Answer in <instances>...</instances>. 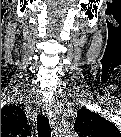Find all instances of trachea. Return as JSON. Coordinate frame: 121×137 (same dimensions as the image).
I'll return each instance as SVG.
<instances>
[{"label":"trachea","instance_id":"1","mask_svg":"<svg viewBox=\"0 0 121 137\" xmlns=\"http://www.w3.org/2000/svg\"><path fill=\"white\" fill-rule=\"evenodd\" d=\"M49 125V120L47 117L45 116H38L37 117V128L40 131H43L47 128V126Z\"/></svg>","mask_w":121,"mask_h":137}]
</instances>
